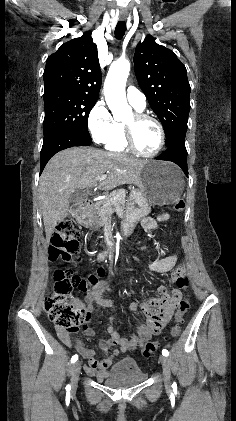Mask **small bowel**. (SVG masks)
I'll list each match as a JSON object with an SVG mask.
<instances>
[{
  "label": "small bowel",
  "mask_w": 236,
  "mask_h": 421,
  "mask_svg": "<svg viewBox=\"0 0 236 421\" xmlns=\"http://www.w3.org/2000/svg\"><path fill=\"white\" fill-rule=\"evenodd\" d=\"M167 218H168L167 214L162 215L158 219L147 217L142 220V227L147 230H156L158 228V221L166 220ZM170 260L174 261L175 257H171ZM106 289L107 288L104 285H99L87 293L85 297V302L75 300V303L86 306L89 311L92 310L93 304L95 303L103 305L108 308H113V303L103 298V293L106 291ZM160 290L165 291L163 288H161ZM175 300L177 301V297ZM132 307L135 308V305L132 304ZM86 334L88 336H91L94 333L92 330L89 329L86 331ZM58 335L61 338V340L67 345L72 344V338L68 333L58 330ZM82 353L89 357V360H90L89 371L95 372V370L98 368L100 370L96 372V375L98 378H103L106 373L105 370L112 363L113 356L106 357L102 360H96L93 357H91L87 352H82Z\"/></svg>",
  "instance_id": "obj_1"
}]
</instances>
